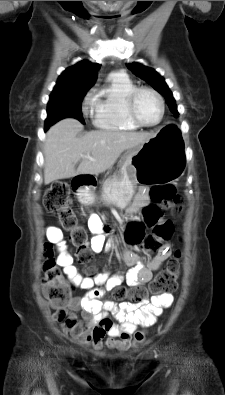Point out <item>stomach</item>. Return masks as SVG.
Masks as SVG:
<instances>
[{
  "label": "stomach",
  "instance_id": "stomach-1",
  "mask_svg": "<svg viewBox=\"0 0 225 395\" xmlns=\"http://www.w3.org/2000/svg\"><path fill=\"white\" fill-rule=\"evenodd\" d=\"M119 180L107 179L103 184L102 200L119 208L130 204L137 184L153 185L178 180L183 174L181 163L159 143L155 136L148 142L129 151L120 170ZM78 197L81 203L91 205L95 194L80 189Z\"/></svg>",
  "mask_w": 225,
  "mask_h": 395
}]
</instances>
